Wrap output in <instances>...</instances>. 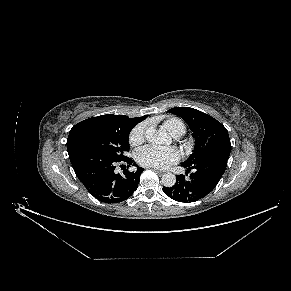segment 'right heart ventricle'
<instances>
[{
    "instance_id": "obj_1",
    "label": "right heart ventricle",
    "mask_w": 291,
    "mask_h": 291,
    "mask_svg": "<svg viewBox=\"0 0 291 291\" xmlns=\"http://www.w3.org/2000/svg\"><path fill=\"white\" fill-rule=\"evenodd\" d=\"M163 126L167 129L173 136L183 135L186 131L185 123L176 117L167 118L163 122Z\"/></svg>"
}]
</instances>
